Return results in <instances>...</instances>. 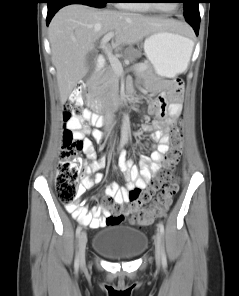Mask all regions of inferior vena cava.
I'll use <instances>...</instances> for the list:
<instances>
[{"label": "inferior vena cava", "instance_id": "1", "mask_svg": "<svg viewBox=\"0 0 239 296\" xmlns=\"http://www.w3.org/2000/svg\"><path fill=\"white\" fill-rule=\"evenodd\" d=\"M113 121H114V112L111 108V102L110 99L105 100L104 105V122H105V130L109 131L113 127Z\"/></svg>", "mask_w": 239, "mask_h": 296}]
</instances>
